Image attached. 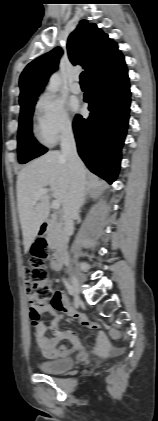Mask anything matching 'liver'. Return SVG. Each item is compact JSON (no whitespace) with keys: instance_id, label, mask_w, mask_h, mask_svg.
<instances>
[{"instance_id":"liver-1","label":"liver","mask_w":158,"mask_h":421,"mask_svg":"<svg viewBox=\"0 0 158 421\" xmlns=\"http://www.w3.org/2000/svg\"><path fill=\"white\" fill-rule=\"evenodd\" d=\"M85 178L88 188H96L103 184V181L88 175L86 170ZM70 181L67 159L58 150L45 153L19 172L17 203L25 251L31 246L50 212L49 195H42L36 203H33L35 195L49 186L55 199L63 204Z\"/></svg>"}]
</instances>
